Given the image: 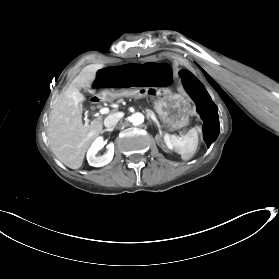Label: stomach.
I'll list each match as a JSON object with an SVG mask.
<instances>
[{
  "label": "stomach",
  "mask_w": 279,
  "mask_h": 279,
  "mask_svg": "<svg viewBox=\"0 0 279 279\" xmlns=\"http://www.w3.org/2000/svg\"><path fill=\"white\" fill-rule=\"evenodd\" d=\"M192 109L191 101L184 96L174 95L154 102V110L159 118L165 120L168 129L186 124Z\"/></svg>",
  "instance_id": "1"
}]
</instances>
